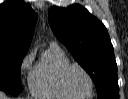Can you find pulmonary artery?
I'll return each mask as SVG.
<instances>
[{
    "label": "pulmonary artery",
    "mask_w": 128,
    "mask_h": 99,
    "mask_svg": "<svg viewBox=\"0 0 128 99\" xmlns=\"http://www.w3.org/2000/svg\"><path fill=\"white\" fill-rule=\"evenodd\" d=\"M51 46L60 48L56 43H52Z\"/></svg>",
    "instance_id": "pulmonary-artery-1"
}]
</instances>
